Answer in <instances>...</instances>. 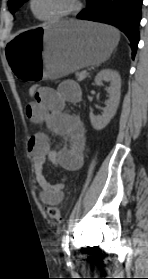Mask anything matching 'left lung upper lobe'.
I'll list each match as a JSON object with an SVG mask.
<instances>
[{
    "mask_svg": "<svg viewBox=\"0 0 148 279\" xmlns=\"http://www.w3.org/2000/svg\"><path fill=\"white\" fill-rule=\"evenodd\" d=\"M28 0H9L8 6L11 13H13L17 8H19L24 2Z\"/></svg>",
    "mask_w": 148,
    "mask_h": 279,
    "instance_id": "1",
    "label": "left lung upper lobe"
}]
</instances>
